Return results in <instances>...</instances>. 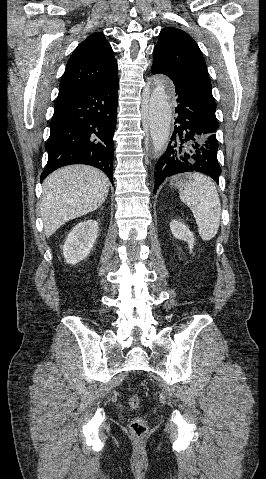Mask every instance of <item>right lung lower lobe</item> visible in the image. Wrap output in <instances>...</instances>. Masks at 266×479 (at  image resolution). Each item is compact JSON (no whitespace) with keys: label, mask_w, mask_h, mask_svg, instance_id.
Masks as SVG:
<instances>
[{"label":"right lung lower lobe","mask_w":266,"mask_h":479,"mask_svg":"<svg viewBox=\"0 0 266 479\" xmlns=\"http://www.w3.org/2000/svg\"><path fill=\"white\" fill-rule=\"evenodd\" d=\"M118 77L91 86L59 91L45 144L48 162L41 182L70 164L101 169L113 183V135L118 105Z\"/></svg>","instance_id":"98d812e1"}]
</instances>
